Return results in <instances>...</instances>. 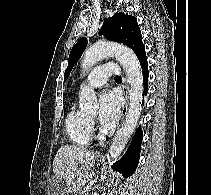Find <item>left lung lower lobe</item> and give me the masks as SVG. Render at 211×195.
<instances>
[{
    "label": "left lung lower lobe",
    "instance_id": "1",
    "mask_svg": "<svg viewBox=\"0 0 211 195\" xmlns=\"http://www.w3.org/2000/svg\"><path fill=\"white\" fill-rule=\"evenodd\" d=\"M139 61L143 72L144 92L146 94L148 89V76H149L146 55L141 56L139 58ZM141 142H142V131L141 128L139 127L132 139V142L127 152L122 157V159L113 164V169L120 171L126 177L131 176L134 173L139 161Z\"/></svg>",
    "mask_w": 211,
    "mask_h": 195
}]
</instances>
